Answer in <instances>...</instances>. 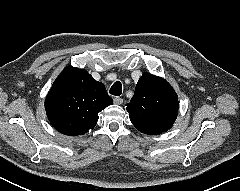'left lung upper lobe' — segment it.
<instances>
[{"label": "left lung upper lobe", "mask_w": 240, "mask_h": 191, "mask_svg": "<svg viewBox=\"0 0 240 191\" xmlns=\"http://www.w3.org/2000/svg\"><path fill=\"white\" fill-rule=\"evenodd\" d=\"M126 109L132 124L140 132L161 134L170 129L176 120L178 97L165 79L143 73Z\"/></svg>", "instance_id": "5c2ea615"}]
</instances>
